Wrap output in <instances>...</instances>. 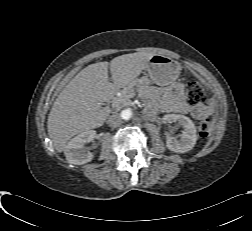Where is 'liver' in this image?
Returning a JSON list of instances; mask_svg holds the SVG:
<instances>
[{
	"label": "liver",
	"instance_id": "liver-1",
	"mask_svg": "<svg viewBox=\"0 0 252 231\" xmlns=\"http://www.w3.org/2000/svg\"><path fill=\"white\" fill-rule=\"evenodd\" d=\"M153 55L125 54L110 63H94L82 69L61 91L49 113L47 129L54 148L62 152L73 136L102 126L110 109L100 104L112 100L122 88L130 91ZM108 66L112 82L108 79Z\"/></svg>",
	"mask_w": 252,
	"mask_h": 231
}]
</instances>
